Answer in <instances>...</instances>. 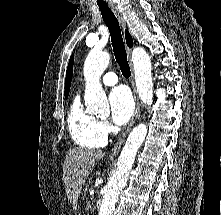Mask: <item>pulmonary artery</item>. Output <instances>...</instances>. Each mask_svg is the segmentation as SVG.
<instances>
[{
  "label": "pulmonary artery",
  "instance_id": "pulmonary-artery-1",
  "mask_svg": "<svg viewBox=\"0 0 221 215\" xmlns=\"http://www.w3.org/2000/svg\"><path fill=\"white\" fill-rule=\"evenodd\" d=\"M102 82L105 85L112 86L118 82V77L114 72H108L103 76Z\"/></svg>",
  "mask_w": 221,
  "mask_h": 215
}]
</instances>
